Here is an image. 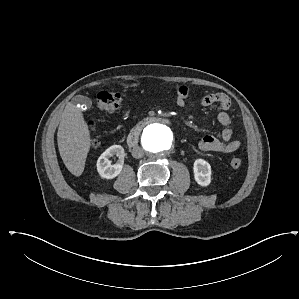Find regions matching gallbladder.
<instances>
[{
    "instance_id": "1",
    "label": "gallbladder",
    "mask_w": 299,
    "mask_h": 299,
    "mask_svg": "<svg viewBox=\"0 0 299 299\" xmlns=\"http://www.w3.org/2000/svg\"><path fill=\"white\" fill-rule=\"evenodd\" d=\"M73 103L74 104H81V105H85L87 108H89L91 106V99L86 97V96H81L78 95L76 97L73 98Z\"/></svg>"
}]
</instances>
